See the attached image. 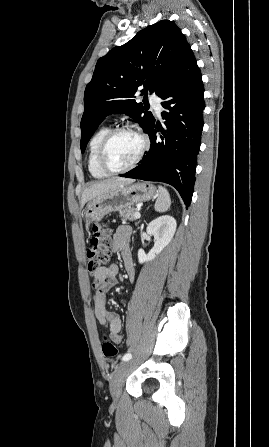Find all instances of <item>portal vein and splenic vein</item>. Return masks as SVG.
I'll use <instances>...</instances> for the list:
<instances>
[{
    "label": "portal vein and splenic vein",
    "mask_w": 269,
    "mask_h": 447,
    "mask_svg": "<svg viewBox=\"0 0 269 447\" xmlns=\"http://www.w3.org/2000/svg\"><path fill=\"white\" fill-rule=\"evenodd\" d=\"M134 216H135L136 220H139V218H141L140 212H135Z\"/></svg>",
    "instance_id": "obj_1"
}]
</instances>
